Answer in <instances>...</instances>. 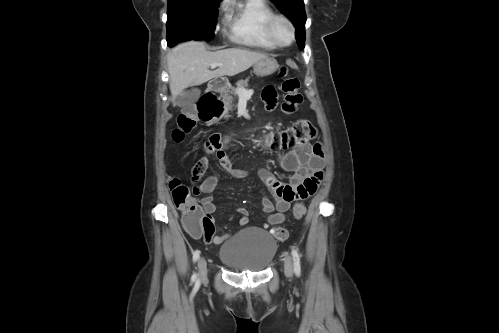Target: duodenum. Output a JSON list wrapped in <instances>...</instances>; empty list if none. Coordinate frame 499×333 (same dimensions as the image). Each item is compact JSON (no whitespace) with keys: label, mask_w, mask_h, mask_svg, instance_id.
<instances>
[{"label":"duodenum","mask_w":499,"mask_h":333,"mask_svg":"<svg viewBox=\"0 0 499 333\" xmlns=\"http://www.w3.org/2000/svg\"><path fill=\"white\" fill-rule=\"evenodd\" d=\"M220 86V81H211L207 89L206 97H216V91ZM201 111L205 112L209 119L219 115L221 112L220 107H208L204 105L201 107Z\"/></svg>","instance_id":"obj_1"}]
</instances>
